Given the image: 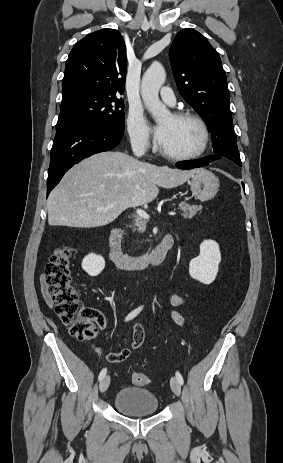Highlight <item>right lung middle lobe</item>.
<instances>
[{
    "label": "right lung middle lobe",
    "instance_id": "1",
    "mask_svg": "<svg viewBox=\"0 0 283 463\" xmlns=\"http://www.w3.org/2000/svg\"><path fill=\"white\" fill-rule=\"evenodd\" d=\"M124 103L119 96L87 94L61 104L56 132L94 124L124 132Z\"/></svg>",
    "mask_w": 283,
    "mask_h": 463
}]
</instances>
